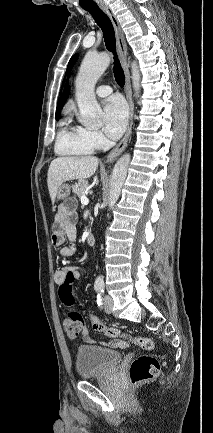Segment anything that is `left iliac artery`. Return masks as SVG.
Segmentation results:
<instances>
[{"instance_id":"1","label":"left iliac artery","mask_w":213,"mask_h":433,"mask_svg":"<svg viewBox=\"0 0 213 433\" xmlns=\"http://www.w3.org/2000/svg\"><path fill=\"white\" fill-rule=\"evenodd\" d=\"M103 293H104V289L102 288L101 290H100V292L98 293V295H97V304H98V306H102V304H103Z\"/></svg>"}]
</instances>
